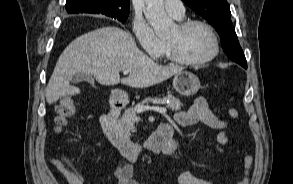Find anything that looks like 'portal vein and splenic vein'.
Wrapping results in <instances>:
<instances>
[{"mask_svg":"<svg viewBox=\"0 0 293 184\" xmlns=\"http://www.w3.org/2000/svg\"><path fill=\"white\" fill-rule=\"evenodd\" d=\"M129 70H124L123 73L124 75L129 74ZM135 110L137 113H141L143 111H155L161 114H165L167 112L166 108H161V107H150V106H144V105H138L135 107Z\"/></svg>","mask_w":293,"mask_h":184,"instance_id":"portal-vein-and-splenic-vein-1","label":"portal vein and splenic vein"}]
</instances>
